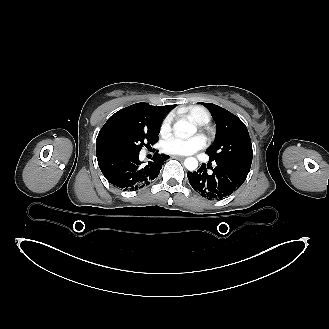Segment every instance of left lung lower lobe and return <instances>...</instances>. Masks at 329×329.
Here are the masks:
<instances>
[{"mask_svg": "<svg viewBox=\"0 0 329 329\" xmlns=\"http://www.w3.org/2000/svg\"><path fill=\"white\" fill-rule=\"evenodd\" d=\"M211 175L201 166L197 171L188 172L192 188L209 200H220L237 190L246 180L249 170L226 162L215 161Z\"/></svg>", "mask_w": 329, "mask_h": 329, "instance_id": "0a47b994", "label": "left lung lower lobe"}]
</instances>
